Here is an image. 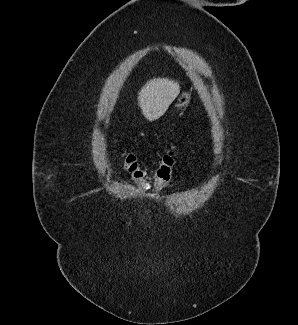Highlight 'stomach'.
I'll use <instances>...</instances> for the list:
<instances>
[{
    "label": "stomach",
    "mask_w": 298,
    "mask_h": 325,
    "mask_svg": "<svg viewBox=\"0 0 298 325\" xmlns=\"http://www.w3.org/2000/svg\"><path fill=\"white\" fill-rule=\"evenodd\" d=\"M191 98V94L189 90H183L179 96H177L174 106H177V108H184V106H187L189 104Z\"/></svg>",
    "instance_id": "0dacf381"
}]
</instances>
